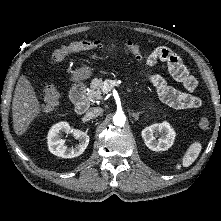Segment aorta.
<instances>
[{
	"label": "aorta",
	"instance_id": "aorta-1",
	"mask_svg": "<svg viewBox=\"0 0 221 221\" xmlns=\"http://www.w3.org/2000/svg\"><path fill=\"white\" fill-rule=\"evenodd\" d=\"M126 121V117L123 113L117 112L114 116H113V123L116 126L122 127L124 126Z\"/></svg>",
	"mask_w": 221,
	"mask_h": 221
}]
</instances>
